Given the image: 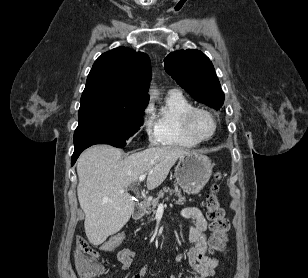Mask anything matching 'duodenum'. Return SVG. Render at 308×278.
<instances>
[{
  "mask_svg": "<svg viewBox=\"0 0 308 278\" xmlns=\"http://www.w3.org/2000/svg\"><path fill=\"white\" fill-rule=\"evenodd\" d=\"M145 212V205L142 203H138L133 210L134 219H139L143 216Z\"/></svg>",
  "mask_w": 308,
  "mask_h": 278,
  "instance_id": "duodenum-1",
  "label": "duodenum"
}]
</instances>
